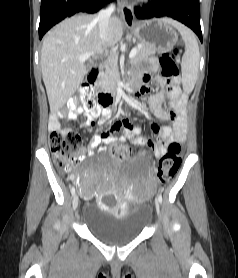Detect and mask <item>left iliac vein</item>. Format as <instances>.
<instances>
[{"label":"left iliac vein","mask_w":238,"mask_h":278,"mask_svg":"<svg viewBox=\"0 0 238 278\" xmlns=\"http://www.w3.org/2000/svg\"><path fill=\"white\" fill-rule=\"evenodd\" d=\"M155 208H156L157 213L159 214L160 206H159V201L158 200H156V202H155Z\"/></svg>","instance_id":"4c4485c4"}]
</instances>
